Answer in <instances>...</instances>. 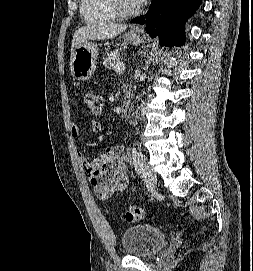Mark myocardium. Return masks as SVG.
Instances as JSON below:
<instances>
[{
	"mask_svg": "<svg viewBox=\"0 0 253 271\" xmlns=\"http://www.w3.org/2000/svg\"><path fill=\"white\" fill-rule=\"evenodd\" d=\"M112 7L119 17L133 16L141 11L142 5L128 7L124 0H111Z\"/></svg>",
	"mask_w": 253,
	"mask_h": 271,
	"instance_id": "myocardium-1",
	"label": "myocardium"
}]
</instances>
